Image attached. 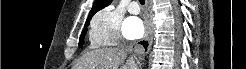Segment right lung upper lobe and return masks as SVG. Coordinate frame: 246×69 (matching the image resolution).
<instances>
[{
	"mask_svg": "<svg viewBox=\"0 0 246 69\" xmlns=\"http://www.w3.org/2000/svg\"><path fill=\"white\" fill-rule=\"evenodd\" d=\"M112 2V0H96L95 3L93 4V7L89 13V16L86 20L87 21H90L92 16L98 12L99 10L107 7L110 3Z\"/></svg>",
	"mask_w": 246,
	"mask_h": 69,
	"instance_id": "cb5924a9",
	"label": "right lung upper lobe"
}]
</instances>
